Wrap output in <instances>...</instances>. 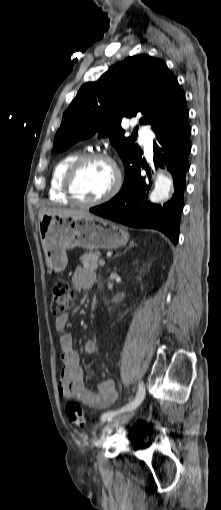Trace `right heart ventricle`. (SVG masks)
<instances>
[{"label": "right heart ventricle", "instance_id": "e07e8e85", "mask_svg": "<svg viewBox=\"0 0 221 510\" xmlns=\"http://www.w3.org/2000/svg\"><path fill=\"white\" fill-rule=\"evenodd\" d=\"M78 156L76 151L67 153L54 165L49 186V197L52 201L63 204L70 202L63 192V180L66 171Z\"/></svg>", "mask_w": 221, "mask_h": 510}]
</instances>
